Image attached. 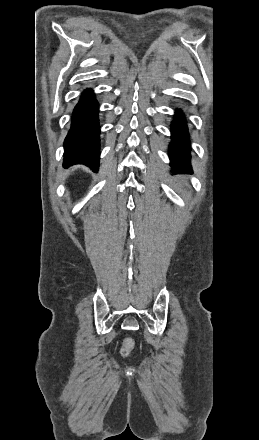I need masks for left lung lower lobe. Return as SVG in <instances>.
Listing matches in <instances>:
<instances>
[{
  "instance_id": "0a47b994",
  "label": "left lung lower lobe",
  "mask_w": 259,
  "mask_h": 440,
  "mask_svg": "<svg viewBox=\"0 0 259 440\" xmlns=\"http://www.w3.org/2000/svg\"><path fill=\"white\" fill-rule=\"evenodd\" d=\"M177 113L176 119L172 122V140L169 157L175 171H191L190 147L188 141V130L184 120ZM179 115V116H178Z\"/></svg>"
}]
</instances>
